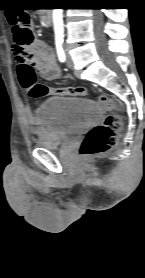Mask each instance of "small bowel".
Masks as SVG:
<instances>
[{
	"instance_id": "obj_1",
	"label": "small bowel",
	"mask_w": 145,
	"mask_h": 278,
	"mask_svg": "<svg viewBox=\"0 0 145 278\" xmlns=\"http://www.w3.org/2000/svg\"><path fill=\"white\" fill-rule=\"evenodd\" d=\"M11 52L17 65L20 85L23 77L33 75L34 68H37L40 76L45 80L53 81L61 76V70L57 63L54 51L51 47L39 40L33 42L28 48H21L13 43Z\"/></svg>"
}]
</instances>
